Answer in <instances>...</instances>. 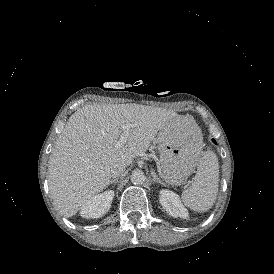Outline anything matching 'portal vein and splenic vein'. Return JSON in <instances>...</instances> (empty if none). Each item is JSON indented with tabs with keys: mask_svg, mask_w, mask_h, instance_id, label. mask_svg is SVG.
I'll use <instances>...</instances> for the list:
<instances>
[{
	"mask_svg": "<svg viewBox=\"0 0 274 274\" xmlns=\"http://www.w3.org/2000/svg\"><path fill=\"white\" fill-rule=\"evenodd\" d=\"M133 127L132 124H126V125H123L122 126V129H123V132L122 134L120 135V138L119 140L116 142L115 144V147L116 148H120V147H123L126 142H127V138L129 136V131L130 129Z\"/></svg>",
	"mask_w": 274,
	"mask_h": 274,
	"instance_id": "1",
	"label": "portal vein and splenic vein"
}]
</instances>
